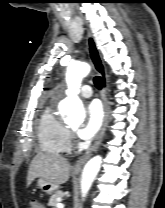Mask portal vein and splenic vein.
I'll return each mask as SVG.
<instances>
[{"label": "portal vein and splenic vein", "mask_w": 165, "mask_h": 208, "mask_svg": "<svg viewBox=\"0 0 165 208\" xmlns=\"http://www.w3.org/2000/svg\"><path fill=\"white\" fill-rule=\"evenodd\" d=\"M56 207H57V208H64V204H62V203H57Z\"/></svg>", "instance_id": "1"}]
</instances>
